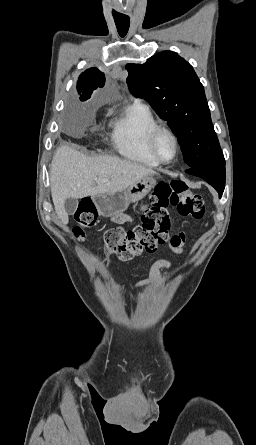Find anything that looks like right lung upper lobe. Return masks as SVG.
<instances>
[{
	"instance_id": "1",
	"label": "right lung upper lobe",
	"mask_w": 256,
	"mask_h": 445,
	"mask_svg": "<svg viewBox=\"0 0 256 445\" xmlns=\"http://www.w3.org/2000/svg\"><path fill=\"white\" fill-rule=\"evenodd\" d=\"M105 84V76L97 68H90L83 72L78 79L77 89L80 100L86 101L97 88H102Z\"/></svg>"
}]
</instances>
